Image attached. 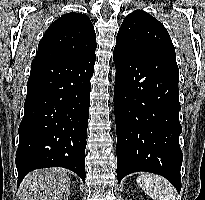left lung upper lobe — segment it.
Wrapping results in <instances>:
<instances>
[{"label":"left lung upper lobe","mask_w":205,"mask_h":200,"mask_svg":"<svg viewBox=\"0 0 205 200\" xmlns=\"http://www.w3.org/2000/svg\"><path fill=\"white\" fill-rule=\"evenodd\" d=\"M128 54L146 55L175 48L165 27L150 14L137 10L128 14L119 29L116 46Z\"/></svg>","instance_id":"5c2ea615"}]
</instances>
